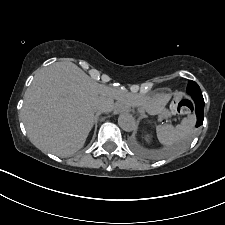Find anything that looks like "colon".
Returning <instances> with one entry per match:
<instances>
[{"label":"colon","instance_id":"obj_1","mask_svg":"<svg viewBox=\"0 0 225 225\" xmlns=\"http://www.w3.org/2000/svg\"><path fill=\"white\" fill-rule=\"evenodd\" d=\"M172 111L177 114H189L194 109L193 101L176 95L171 104Z\"/></svg>","mask_w":225,"mask_h":225}]
</instances>
